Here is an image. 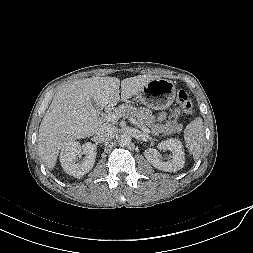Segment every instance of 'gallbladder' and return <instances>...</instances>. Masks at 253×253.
I'll return each instance as SVG.
<instances>
[{
  "mask_svg": "<svg viewBox=\"0 0 253 253\" xmlns=\"http://www.w3.org/2000/svg\"><path fill=\"white\" fill-rule=\"evenodd\" d=\"M91 103H92V105L96 108V109H98V105H97V103L93 100V99H91Z\"/></svg>",
  "mask_w": 253,
  "mask_h": 253,
  "instance_id": "1",
  "label": "gallbladder"
}]
</instances>
